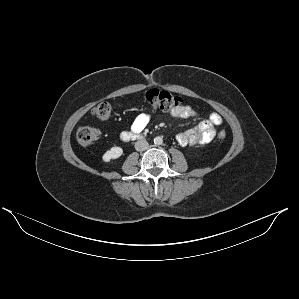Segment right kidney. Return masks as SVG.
Returning <instances> with one entry per match:
<instances>
[{
	"label": "right kidney",
	"mask_w": 299,
	"mask_h": 299,
	"mask_svg": "<svg viewBox=\"0 0 299 299\" xmlns=\"http://www.w3.org/2000/svg\"><path fill=\"white\" fill-rule=\"evenodd\" d=\"M122 154L123 149L121 147L114 146L103 154L102 159L104 162H110L112 159L119 158Z\"/></svg>",
	"instance_id": "obj_1"
}]
</instances>
